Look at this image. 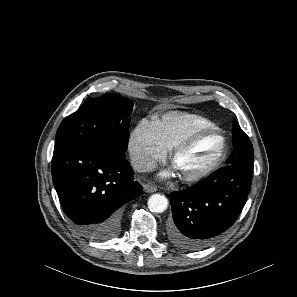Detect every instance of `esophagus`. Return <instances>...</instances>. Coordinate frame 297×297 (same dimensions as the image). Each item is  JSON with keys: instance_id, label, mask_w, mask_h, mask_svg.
<instances>
[{"instance_id": "34e87169", "label": "esophagus", "mask_w": 297, "mask_h": 297, "mask_svg": "<svg viewBox=\"0 0 297 297\" xmlns=\"http://www.w3.org/2000/svg\"><path fill=\"white\" fill-rule=\"evenodd\" d=\"M143 190L147 193H152V192H155L157 191V188L153 185H150V184H145L143 186Z\"/></svg>"}]
</instances>
